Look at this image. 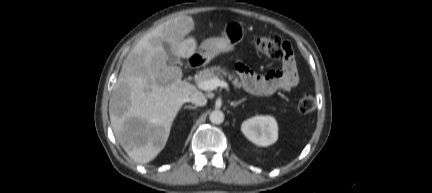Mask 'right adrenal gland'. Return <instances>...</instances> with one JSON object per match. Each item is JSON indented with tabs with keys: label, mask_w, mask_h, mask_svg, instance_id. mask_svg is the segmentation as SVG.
Instances as JSON below:
<instances>
[{
	"label": "right adrenal gland",
	"mask_w": 432,
	"mask_h": 193,
	"mask_svg": "<svg viewBox=\"0 0 432 193\" xmlns=\"http://www.w3.org/2000/svg\"><path fill=\"white\" fill-rule=\"evenodd\" d=\"M184 108H185V109H192V110H195V109H197V106L187 105V106H185Z\"/></svg>",
	"instance_id": "2a0ac1e0"
}]
</instances>
